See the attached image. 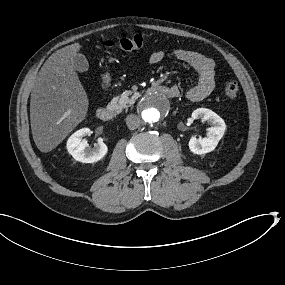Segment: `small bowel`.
Listing matches in <instances>:
<instances>
[{"label": "small bowel", "mask_w": 285, "mask_h": 285, "mask_svg": "<svg viewBox=\"0 0 285 285\" xmlns=\"http://www.w3.org/2000/svg\"><path fill=\"white\" fill-rule=\"evenodd\" d=\"M171 55L189 65L197 76V81L186 91V97L199 102L207 98L215 88V62L210 57L193 50L176 49ZM166 57L162 50L154 51L149 58L151 64H158ZM175 90L176 96L181 93L178 85L171 86Z\"/></svg>", "instance_id": "c3829d8e"}]
</instances>
